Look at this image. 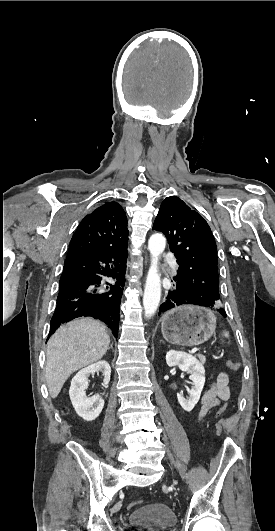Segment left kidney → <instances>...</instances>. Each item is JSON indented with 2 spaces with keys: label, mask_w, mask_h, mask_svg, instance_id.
<instances>
[{
  "label": "left kidney",
  "mask_w": 275,
  "mask_h": 531,
  "mask_svg": "<svg viewBox=\"0 0 275 531\" xmlns=\"http://www.w3.org/2000/svg\"><path fill=\"white\" fill-rule=\"evenodd\" d=\"M166 363L168 367H179L181 371H187L190 373V381H193L192 389H188L190 397L184 399L182 395L177 393V399L184 411H192L195 405H197L200 395L203 391L205 383V369L195 357L183 353V351H168L166 355Z\"/></svg>",
  "instance_id": "5707ae66"
}]
</instances>
